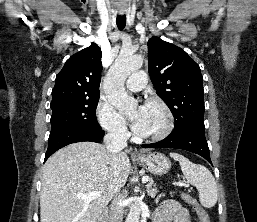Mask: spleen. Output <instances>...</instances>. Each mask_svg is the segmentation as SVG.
<instances>
[{
  "instance_id": "3e777b00",
  "label": "spleen",
  "mask_w": 257,
  "mask_h": 222,
  "mask_svg": "<svg viewBox=\"0 0 257 222\" xmlns=\"http://www.w3.org/2000/svg\"><path fill=\"white\" fill-rule=\"evenodd\" d=\"M170 156L179 162L187 181L197 188L201 205L205 208L215 206L218 195L212 173L206 167L195 164L178 153H170Z\"/></svg>"
}]
</instances>
